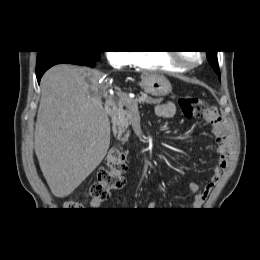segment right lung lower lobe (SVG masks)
Instances as JSON below:
<instances>
[{"label": "right lung lower lobe", "instance_id": "1", "mask_svg": "<svg viewBox=\"0 0 260 260\" xmlns=\"http://www.w3.org/2000/svg\"><path fill=\"white\" fill-rule=\"evenodd\" d=\"M94 62L95 60L92 59H87V58H76V57H71V56H63L56 58L55 60L43 65L41 68L36 69L37 73V81L38 83L40 82V79L44 72L49 69L50 67L59 64V63H71V64H77V65H85V66H90L94 67Z\"/></svg>", "mask_w": 260, "mask_h": 260}]
</instances>
